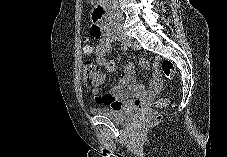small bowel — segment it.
Listing matches in <instances>:
<instances>
[{
  "mask_svg": "<svg viewBox=\"0 0 227 157\" xmlns=\"http://www.w3.org/2000/svg\"><path fill=\"white\" fill-rule=\"evenodd\" d=\"M97 39L99 43L95 48L90 44L83 47V52L87 55L95 52L97 66L105 69V73L99 74L95 80L91 92L94 101L114 109L140 108L148 105L160 90L159 74L156 71L153 73V81L149 89L146 90L144 86L136 82L135 67L131 62L124 65L123 86L105 94L101 92L100 88L106 81L107 74L115 69L114 61L107 59V55L112 51L113 35L112 33H101ZM142 64L147 66L145 61H142Z\"/></svg>",
  "mask_w": 227,
  "mask_h": 157,
  "instance_id": "obj_1",
  "label": "small bowel"
}]
</instances>
